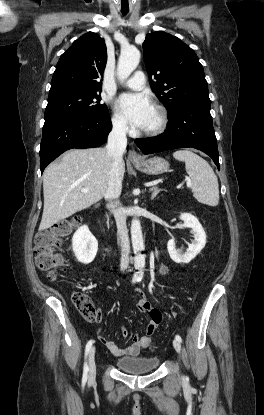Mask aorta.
<instances>
[{
    "instance_id": "1",
    "label": "aorta",
    "mask_w": 264,
    "mask_h": 415,
    "mask_svg": "<svg viewBox=\"0 0 264 415\" xmlns=\"http://www.w3.org/2000/svg\"><path fill=\"white\" fill-rule=\"evenodd\" d=\"M140 51L134 47L128 48L121 52L118 66L117 76L120 81H124L136 69L140 61ZM131 239L134 251V266L138 269L145 266L144 240L139 219H133L131 222Z\"/></svg>"
}]
</instances>
